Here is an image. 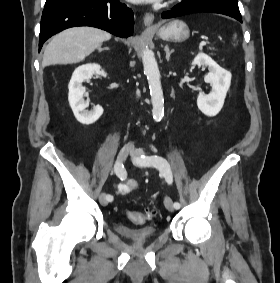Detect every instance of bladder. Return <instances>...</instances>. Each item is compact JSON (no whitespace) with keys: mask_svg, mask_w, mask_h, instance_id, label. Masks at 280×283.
Masks as SVG:
<instances>
[{"mask_svg":"<svg viewBox=\"0 0 280 283\" xmlns=\"http://www.w3.org/2000/svg\"><path fill=\"white\" fill-rule=\"evenodd\" d=\"M114 230L118 235L135 242H144L152 239L156 235V228L153 225H143L132 228L122 222H117L114 225Z\"/></svg>","mask_w":280,"mask_h":283,"instance_id":"31cf9c89","label":"bladder"}]
</instances>
